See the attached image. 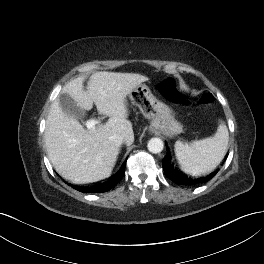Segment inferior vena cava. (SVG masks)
Instances as JSON below:
<instances>
[{
  "label": "inferior vena cava",
  "instance_id": "1",
  "mask_svg": "<svg viewBox=\"0 0 264 264\" xmlns=\"http://www.w3.org/2000/svg\"><path fill=\"white\" fill-rule=\"evenodd\" d=\"M110 140L115 142L116 144L121 145L123 142H125V138L119 135H113L110 137Z\"/></svg>",
  "mask_w": 264,
  "mask_h": 264
}]
</instances>
